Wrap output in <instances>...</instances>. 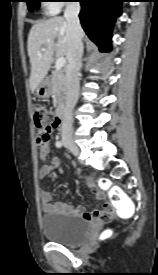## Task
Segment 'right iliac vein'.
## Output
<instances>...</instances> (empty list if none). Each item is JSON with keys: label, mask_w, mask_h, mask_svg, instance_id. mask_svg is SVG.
<instances>
[{"label": "right iliac vein", "mask_w": 158, "mask_h": 275, "mask_svg": "<svg viewBox=\"0 0 158 275\" xmlns=\"http://www.w3.org/2000/svg\"><path fill=\"white\" fill-rule=\"evenodd\" d=\"M63 143L65 145V147H67L72 154H74L75 156H78L80 151L78 146L74 143V141L70 138H65L63 139Z\"/></svg>", "instance_id": "right-iliac-vein-1"}]
</instances>
